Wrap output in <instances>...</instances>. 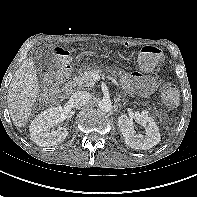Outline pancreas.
Wrapping results in <instances>:
<instances>
[{"label":"pancreas","mask_w":197,"mask_h":197,"mask_svg":"<svg viewBox=\"0 0 197 197\" xmlns=\"http://www.w3.org/2000/svg\"><path fill=\"white\" fill-rule=\"evenodd\" d=\"M96 74L103 76L102 71L99 69H88L84 73L73 78V86H78L80 88L93 87L95 85V80L93 79V76Z\"/></svg>","instance_id":"1"}]
</instances>
